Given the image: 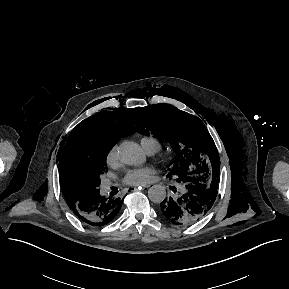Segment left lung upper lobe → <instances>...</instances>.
<instances>
[{
    "instance_id": "left-lung-upper-lobe-1",
    "label": "left lung upper lobe",
    "mask_w": 289,
    "mask_h": 289,
    "mask_svg": "<svg viewBox=\"0 0 289 289\" xmlns=\"http://www.w3.org/2000/svg\"><path fill=\"white\" fill-rule=\"evenodd\" d=\"M137 131L166 139L177 154L169 177L187 183L193 178L219 180L220 159L215 143L203 122L168 104L137 108ZM141 116V117H140Z\"/></svg>"
}]
</instances>
